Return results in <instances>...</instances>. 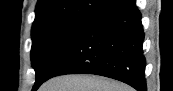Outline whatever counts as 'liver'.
I'll list each match as a JSON object with an SVG mask.
<instances>
[{"mask_svg":"<svg viewBox=\"0 0 173 91\" xmlns=\"http://www.w3.org/2000/svg\"><path fill=\"white\" fill-rule=\"evenodd\" d=\"M39 91H134L130 86L97 75H63L46 81Z\"/></svg>","mask_w":173,"mask_h":91,"instance_id":"obj_1","label":"liver"}]
</instances>
